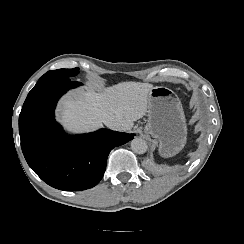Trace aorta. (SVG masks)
<instances>
[{"label":"aorta","mask_w":244,"mask_h":244,"mask_svg":"<svg viewBox=\"0 0 244 244\" xmlns=\"http://www.w3.org/2000/svg\"><path fill=\"white\" fill-rule=\"evenodd\" d=\"M131 149L137 154H144L148 149V145L144 139L135 138L131 141Z\"/></svg>","instance_id":"aorta-1"}]
</instances>
